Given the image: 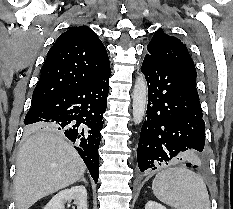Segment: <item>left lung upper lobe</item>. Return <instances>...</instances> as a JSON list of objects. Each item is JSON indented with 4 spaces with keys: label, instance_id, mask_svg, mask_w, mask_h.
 I'll return each instance as SVG.
<instances>
[{
    "label": "left lung upper lobe",
    "instance_id": "obj_1",
    "mask_svg": "<svg viewBox=\"0 0 233 209\" xmlns=\"http://www.w3.org/2000/svg\"><path fill=\"white\" fill-rule=\"evenodd\" d=\"M148 55L163 62L180 67L197 76L194 62L187 47L176 37L158 29L147 46Z\"/></svg>",
    "mask_w": 233,
    "mask_h": 209
}]
</instances>
